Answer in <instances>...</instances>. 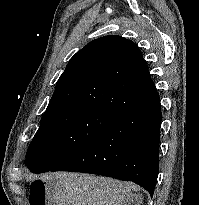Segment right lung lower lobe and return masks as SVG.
<instances>
[{
  "label": "right lung lower lobe",
  "instance_id": "obj_1",
  "mask_svg": "<svg viewBox=\"0 0 199 205\" xmlns=\"http://www.w3.org/2000/svg\"><path fill=\"white\" fill-rule=\"evenodd\" d=\"M143 102L118 119L96 141L50 171L98 174L132 181L153 196L159 172L162 120L160 97L153 81L130 84Z\"/></svg>",
  "mask_w": 199,
  "mask_h": 205
}]
</instances>
